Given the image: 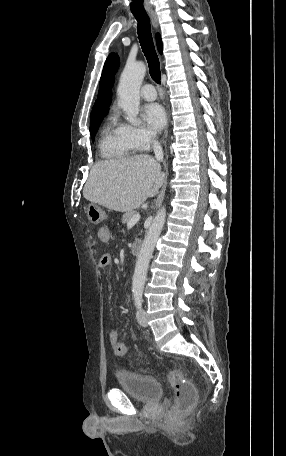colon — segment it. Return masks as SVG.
Wrapping results in <instances>:
<instances>
[{
  "label": "colon",
  "instance_id": "5ec220e1",
  "mask_svg": "<svg viewBox=\"0 0 286 456\" xmlns=\"http://www.w3.org/2000/svg\"><path fill=\"white\" fill-rule=\"evenodd\" d=\"M128 352V348L123 349L124 354H127ZM166 378L175 391V411L180 412L190 410L194 406L197 397V390L195 386L186 382L182 374L176 370L169 372Z\"/></svg>",
  "mask_w": 286,
  "mask_h": 456
}]
</instances>
